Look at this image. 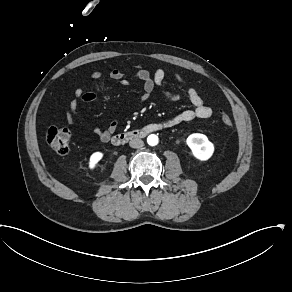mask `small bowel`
<instances>
[{
    "label": "small bowel",
    "mask_w": 292,
    "mask_h": 292,
    "mask_svg": "<svg viewBox=\"0 0 292 292\" xmlns=\"http://www.w3.org/2000/svg\"><path fill=\"white\" fill-rule=\"evenodd\" d=\"M169 72L165 69H157L154 73L146 69L138 70L133 76L135 79L142 82L143 92L141 95V101H147L151 98L156 87L163 86L165 79ZM171 76L182 86L185 87V94L173 92L169 90H162L159 93V97L165 101H179L183 98H187L193 105L192 109L184 110L168 119L163 120L160 124H163L162 128H171L179 124L192 121L196 118L206 119L211 117L213 111L212 108L205 105L200 94L191 86L188 85L186 79L179 73L172 72ZM104 74L100 71L91 73L90 78L93 80L101 79ZM109 77L112 80L119 81L123 84L127 83L126 75L119 69H112L109 72ZM75 98L69 103L65 116L69 125H77V109L81 103H89L97 98L96 92H87L78 88L75 90ZM117 128V122H112L106 129H92V133L96 135L101 142H108Z\"/></svg>",
    "instance_id": "c3829d8e"
}]
</instances>
